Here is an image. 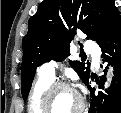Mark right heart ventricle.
<instances>
[{"label": "right heart ventricle", "mask_w": 121, "mask_h": 113, "mask_svg": "<svg viewBox=\"0 0 121 113\" xmlns=\"http://www.w3.org/2000/svg\"><path fill=\"white\" fill-rule=\"evenodd\" d=\"M52 81L53 78H48L39 74L30 100L31 109H43L44 91L52 83Z\"/></svg>", "instance_id": "e07e8e85"}]
</instances>
